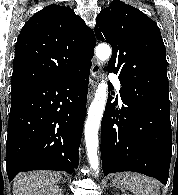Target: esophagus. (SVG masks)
I'll list each match as a JSON object with an SVG mask.
<instances>
[{"label": "esophagus", "instance_id": "1", "mask_svg": "<svg viewBox=\"0 0 178 195\" xmlns=\"http://www.w3.org/2000/svg\"><path fill=\"white\" fill-rule=\"evenodd\" d=\"M102 66L101 63L94 59L93 65L90 70V88L88 92L87 103L89 104L93 98L94 91L97 87V84L101 78Z\"/></svg>", "mask_w": 178, "mask_h": 195}]
</instances>
